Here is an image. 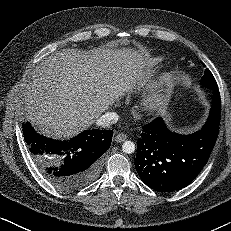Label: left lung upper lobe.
Instances as JSON below:
<instances>
[{"label":"left lung upper lobe","mask_w":231,"mask_h":231,"mask_svg":"<svg viewBox=\"0 0 231 231\" xmlns=\"http://www.w3.org/2000/svg\"><path fill=\"white\" fill-rule=\"evenodd\" d=\"M201 84L208 89L218 90L216 80L208 68L205 70V73L201 79Z\"/></svg>","instance_id":"5c2ea615"}]
</instances>
